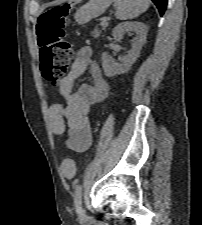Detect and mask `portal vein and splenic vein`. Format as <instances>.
I'll return each instance as SVG.
<instances>
[{"label":"portal vein and splenic vein","instance_id":"portal-vein-and-splenic-vein-1","mask_svg":"<svg viewBox=\"0 0 202 225\" xmlns=\"http://www.w3.org/2000/svg\"><path fill=\"white\" fill-rule=\"evenodd\" d=\"M108 20H109V17H104V18H102L101 25H102V26H108V23H107Z\"/></svg>","mask_w":202,"mask_h":225}]
</instances>
